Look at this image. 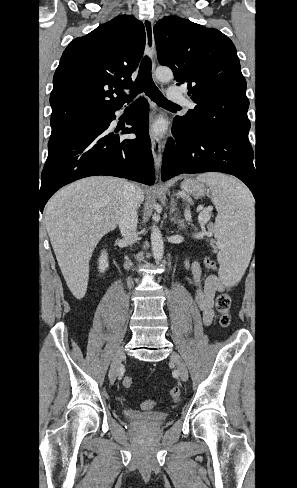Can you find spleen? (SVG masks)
<instances>
[{"label": "spleen", "instance_id": "obj_1", "mask_svg": "<svg viewBox=\"0 0 297 488\" xmlns=\"http://www.w3.org/2000/svg\"><path fill=\"white\" fill-rule=\"evenodd\" d=\"M197 180L206 183L218 215L213 227L220 243L219 276L229 284L240 280L250 262L254 245V207L248 190L235 178L204 173Z\"/></svg>", "mask_w": 297, "mask_h": 488}]
</instances>
